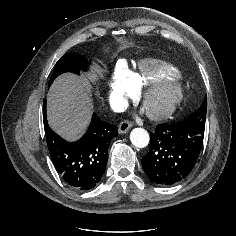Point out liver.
<instances>
[{"mask_svg": "<svg viewBox=\"0 0 236 236\" xmlns=\"http://www.w3.org/2000/svg\"><path fill=\"white\" fill-rule=\"evenodd\" d=\"M92 108L87 84L75 75L64 74L58 77L49 90L48 123L66 139H76L86 130Z\"/></svg>", "mask_w": 236, "mask_h": 236, "instance_id": "liver-1", "label": "liver"}]
</instances>
